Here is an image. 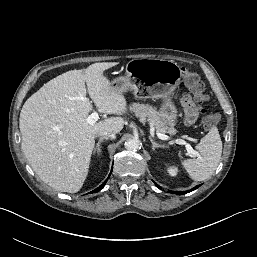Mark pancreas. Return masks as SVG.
I'll return each instance as SVG.
<instances>
[{
  "label": "pancreas",
  "mask_w": 257,
  "mask_h": 257,
  "mask_svg": "<svg viewBox=\"0 0 257 257\" xmlns=\"http://www.w3.org/2000/svg\"><path fill=\"white\" fill-rule=\"evenodd\" d=\"M130 110L135 113L140 119L147 118L149 125L153 127L159 133H174V123L167 122L153 107L149 105H143L134 103L130 107Z\"/></svg>",
  "instance_id": "1"
}]
</instances>
